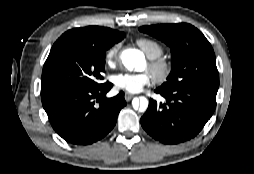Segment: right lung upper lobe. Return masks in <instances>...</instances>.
I'll list each match as a JSON object with an SVG mask.
<instances>
[{
  "instance_id": "1",
  "label": "right lung upper lobe",
  "mask_w": 254,
  "mask_h": 174,
  "mask_svg": "<svg viewBox=\"0 0 254 174\" xmlns=\"http://www.w3.org/2000/svg\"><path fill=\"white\" fill-rule=\"evenodd\" d=\"M122 36L123 33L107 27L89 26L68 30L60 38L71 37L90 43L93 46L103 47L112 42L121 41Z\"/></svg>"
}]
</instances>
